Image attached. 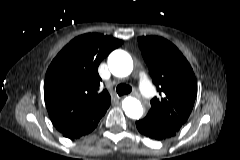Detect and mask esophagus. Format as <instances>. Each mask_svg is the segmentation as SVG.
<instances>
[{
	"label": "esophagus",
	"mask_w": 240,
	"mask_h": 160,
	"mask_svg": "<svg viewBox=\"0 0 240 160\" xmlns=\"http://www.w3.org/2000/svg\"><path fill=\"white\" fill-rule=\"evenodd\" d=\"M131 95L134 96V97H139L140 96V94L137 91L132 92Z\"/></svg>",
	"instance_id": "34e87169"
}]
</instances>
